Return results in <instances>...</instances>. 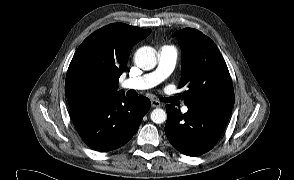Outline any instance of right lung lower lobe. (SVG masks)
I'll use <instances>...</instances> for the list:
<instances>
[{"label": "right lung lower lobe", "instance_id": "obj_1", "mask_svg": "<svg viewBox=\"0 0 294 180\" xmlns=\"http://www.w3.org/2000/svg\"><path fill=\"white\" fill-rule=\"evenodd\" d=\"M149 108L148 98L129 99L122 93L79 104L70 108V116L84 142L105 152L126 144Z\"/></svg>", "mask_w": 294, "mask_h": 180}]
</instances>
